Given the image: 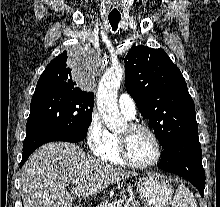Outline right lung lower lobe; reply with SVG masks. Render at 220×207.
<instances>
[{
    "instance_id": "1",
    "label": "right lung lower lobe",
    "mask_w": 220,
    "mask_h": 207,
    "mask_svg": "<svg viewBox=\"0 0 220 207\" xmlns=\"http://www.w3.org/2000/svg\"><path fill=\"white\" fill-rule=\"evenodd\" d=\"M85 136L86 134L84 132L46 131L30 133L26 135L23 143V157L20 167H22L30 154L42 144L51 141L77 143L84 139Z\"/></svg>"
}]
</instances>
